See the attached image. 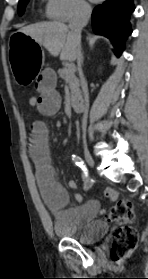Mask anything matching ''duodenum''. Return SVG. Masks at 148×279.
<instances>
[{
	"mask_svg": "<svg viewBox=\"0 0 148 279\" xmlns=\"http://www.w3.org/2000/svg\"><path fill=\"white\" fill-rule=\"evenodd\" d=\"M83 108H84V104L83 101L81 100H77L72 103V109L74 112L79 113L83 110Z\"/></svg>",
	"mask_w": 148,
	"mask_h": 279,
	"instance_id": "obj_1",
	"label": "duodenum"
}]
</instances>
